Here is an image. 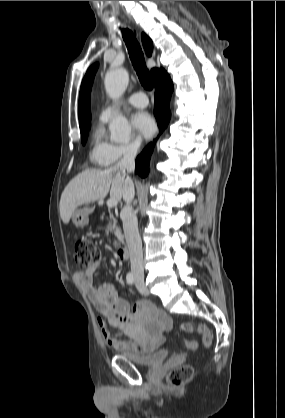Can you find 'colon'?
Segmentation results:
<instances>
[{
  "instance_id": "colon-1",
  "label": "colon",
  "mask_w": 285,
  "mask_h": 418,
  "mask_svg": "<svg viewBox=\"0 0 285 418\" xmlns=\"http://www.w3.org/2000/svg\"><path fill=\"white\" fill-rule=\"evenodd\" d=\"M75 255L76 262L80 267H87L88 265L97 262L99 259L97 248L91 241L85 238H80L76 241ZM179 328L186 333L197 332L202 337V343L205 347H209L212 344L213 336L206 325H200L195 330L191 324L183 322L180 324ZM192 375V366L184 365L173 369L168 375V380L173 386H182L191 379Z\"/></svg>"
}]
</instances>
